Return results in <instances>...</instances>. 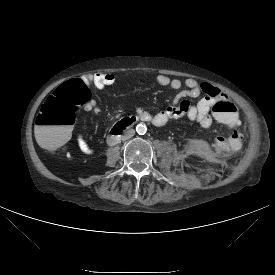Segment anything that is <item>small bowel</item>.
Instances as JSON below:
<instances>
[{"label":"small bowel","instance_id":"c3829d8e","mask_svg":"<svg viewBox=\"0 0 275 275\" xmlns=\"http://www.w3.org/2000/svg\"><path fill=\"white\" fill-rule=\"evenodd\" d=\"M83 81L88 85L103 88L113 84L115 77L110 73H98L85 76ZM156 82L161 86L170 87L178 91L173 99V104L155 114L144 111L139 107L135 108V116L137 118L142 121L151 122L157 127L164 126L170 120L185 116L191 121L196 122L200 127L205 129L209 128L214 121L211 111L215 102L219 99H228L226 94L213 85L209 83H199L192 78L187 79L185 83H183L177 78H171L167 75L160 74L156 77ZM199 97L201 98L196 103H191L189 101V99ZM86 110L100 114V109L94 102L87 104ZM77 143L79 149L83 153L92 154V147L82 135L78 136ZM242 148L243 139L236 131V128L229 134L220 133L216 135L213 141L209 142L207 145L209 153L222 158H227L238 153Z\"/></svg>","mask_w":275,"mask_h":275}]
</instances>
